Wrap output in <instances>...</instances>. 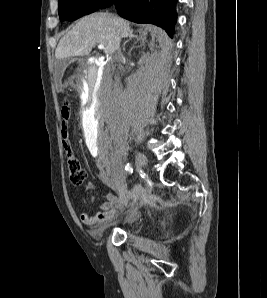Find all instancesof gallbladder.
Returning a JSON list of instances; mask_svg holds the SVG:
<instances>
[{
  "mask_svg": "<svg viewBox=\"0 0 267 298\" xmlns=\"http://www.w3.org/2000/svg\"><path fill=\"white\" fill-rule=\"evenodd\" d=\"M70 60L62 59L57 61V73H61L66 66L70 63Z\"/></svg>",
  "mask_w": 267,
  "mask_h": 298,
  "instance_id": "gallbladder-1",
  "label": "gallbladder"
}]
</instances>
